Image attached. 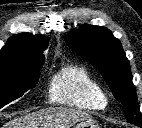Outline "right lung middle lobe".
Masks as SVG:
<instances>
[{
  "instance_id": "dd1d6c3e",
  "label": "right lung middle lobe",
  "mask_w": 142,
  "mask_h": 128,
  "mask_svg": "<svg viewBox=\"0 0 142 128\" xmlns=\"http://www.w3.org/2000/svg\"><path fill=\"white\" fill-rule=\"evenodd\" d=\"M44 61L31 64L15 77L0 78V109L36 85Z\"/></svg>"
}]
</instances>
